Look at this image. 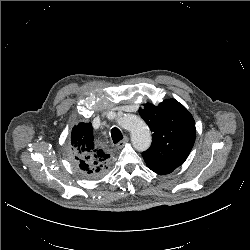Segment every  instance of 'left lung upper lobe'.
I'll list each match as a JSON object with an SVG mask.
<instances>
[{
	"instance_id": "left-lung-upper-lobe-1",
	"label": "left lung upper lobe",
	"mask_w": 250,
	"mask_h": 250,
	"mask_svg": "<svg viewBox=\"0 0 250 250\" xmlns=\"http://www.w3.org/2000/svg\"><path fill=\"white\" fill-rule=\"evenodd\" d=\"M139 113L153 132L151 147L142 153L144 161L156 173H171L184 163L194 145L192 115L175 99H166L157 106L146 103Z\"/></svg>"
}]
</instances>
